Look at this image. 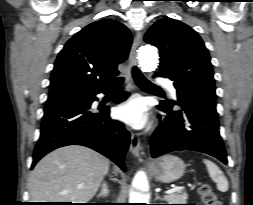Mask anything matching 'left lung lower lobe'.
<instances>
[{"label": "left lung lower lobe", "mask_w": 253, "mask_h": 205, "mask_svg": "<svg viewBox=\"0 0 253 205\" xmlns=\"http://www.w3.org/2000/svg\"><path fill=\"white\" fill-rule=\"evenodd\" d=\"M156 76L167 77L159 71ZM168 78V77H167ZM177 93L181 90L174 83ZM179 108L170 102H161L158 109L166 113L150 139L152 156L180 150H193L214 156L227 163V157L219 134L216 103L198 97H178Z\"/></svg>", "instance_id": "obj_1"}]
</instances>
